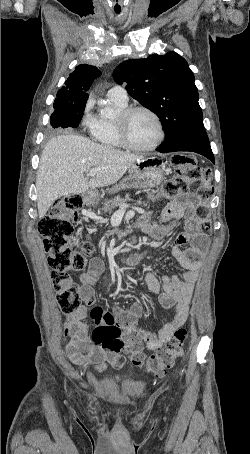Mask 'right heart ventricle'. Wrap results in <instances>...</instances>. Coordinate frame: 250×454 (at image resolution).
Instances as JSON below:
<instances>
[{
    "mask_svg": "<svg viewBox=\"0 0 250 454\" xmlns=\"http://www.w3.org/2000/svg\"><path fill=\"white\" fill-rule=\"evenodd\" d=\"M115 108V114L112 116H106L104 114L94 115V125L90 130L92 137L100 144L111 147H123L120 138L118 136L116 128V114L127 107V104L121 103L116 100H112Z\"/></svg>",
    "mask_w": 250,
    "mask_h": 454,
    "instance_id": "right-heart-ventricle-1",
    "label": "right heart ventricle"
}]
</instances>
